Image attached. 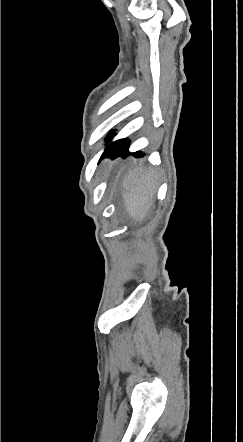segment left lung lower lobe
<instances>
[{
	"label": "left lung lower lobe",
	"instance_id": "1",
	"mask_svg": "<svg viewBox=\"0 0 243 442\" xmlns=\"http://www.w3.org/2000/svg\"><path fill=\"white\" fill-rule=\"evenodd\" d=\"M113 134L108 135V136H113ZM107 141H110V138H106ZM129 140L126 139H121L118 140L116 142L111 143L109 146H107V148L105 149L104 153L102 154L101 158L104 157H109L111 159H115L119 156H123L124 158L129 154L128 149H129ZM135 157H142L143 154L141 152H135L134 153Z\"/></svg>",
	"mask_w": 243,
	"mask_h": 442
}]
</instances>
